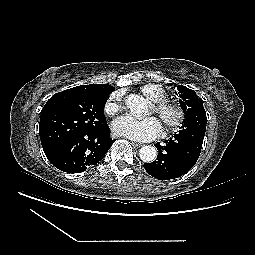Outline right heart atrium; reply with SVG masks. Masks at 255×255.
<instances>
[{
    "label": "right heart atrium",
    "instance_id": "d8ad5b80",
    "mask_svg": "<svg viewBox=\"0 0 255 255\" xmlns=\"http://www.w3.org/2000/svg\"><path fill=\"white\" fill-rule=\"evenodd\" d=\"M122 109L121 96L119 93H112L104 105V111L107 115L113 116Z\"/></svg>",
    "mask_w": 255,
    "mask_h": 255
}]
</instances>
